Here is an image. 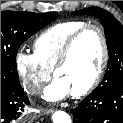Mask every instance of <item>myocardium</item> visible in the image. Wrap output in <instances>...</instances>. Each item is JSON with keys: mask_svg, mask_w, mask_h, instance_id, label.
<instances>
[{"mask_svg": "<svg viewBox=\"0 0 123 123\" xmlns=\"http://www.w3.org/2000/svg\"><path fill=\"white\" fill-rule=\"evenodd\" d=\"M89 30H95L99 34L101 45H102L101 60L92 80L83 89L71 93V95L74 97H83L88 95L91 91H93L98 86L104 75L109 60V46H108V40L106 34L102 29V27L97 24L89 23V24H85L80 29L75 31L66 40L62 48L60 57L53 67V76L57 77L58 71L68 62L76 41Z\"/></svg>", "mask_w": 123, "mask_h": 123, "instance_id": "obj_1", "label": "myocardium"}]
</instances>
